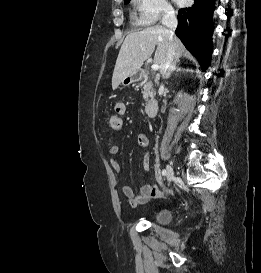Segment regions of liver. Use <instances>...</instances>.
Instances as JSON below:
<instances>
[{
	"instance_id": "6515ba94",
	"label": "liver",
	"mask_w": 261,
	"mask_h": 273,
	"mask_svg": "<svg viewBox=\"0 0 261 273\" xmlns=\"http://www.w3.org/2000/svg\"><path fill=\"white\" fill-rule=\"evenodd\" d=\"M171 42L173 43L174 58L179 60L185 50L184 45L176 36L172 37L169 30L163 26L147 27L127 35L114 67L112 88L115 90L124 78L136 74L144 61L152 55L155 47L157 48L154 63L158 64L161 70Z\"/></svg>"
}]
</instances>
